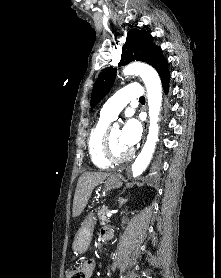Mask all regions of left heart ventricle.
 <instances>
[{
	"mask_svg": "<svg viewBox=\"0 0 221 278\" xmlns=\"http://www.w3.org/2000/svg\"><path fill=\"white\" fill-rule=\"evenodd\" d=\"M110 141L111 151L114 156H123L130 150V148L123 143L121 139V131L116 127L111 129Z\"/></svg>",
	"mask_w": 221,
	"mask_h": 278,
	"instance_id": "left-heart-ventricle-1",
	"label": "left heart ventricle"
}]
</instances>
